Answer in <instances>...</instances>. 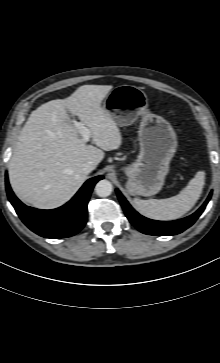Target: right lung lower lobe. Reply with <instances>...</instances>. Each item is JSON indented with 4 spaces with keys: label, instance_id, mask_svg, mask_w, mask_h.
<instances>
[{
    "label": "right lung lower lobe",
    "instance_id": "98d812e1",
    "mask_svg": "<svg viewBox=\"0 0 220 363\" xmlns=\"http://www.w3.org/2000/svg\"><path fill=\"white\" fill-rule=\"evenodd\" d=\"M103 176L89 179L65 205L53 210H40L24 205L12 192L6 174L8 199L23 223L45 238H65L77 234L87 221V204L96 182Z\"/></svg>",
    "mask_w": 220,
    "mask_h": 363
}]
</instances>
